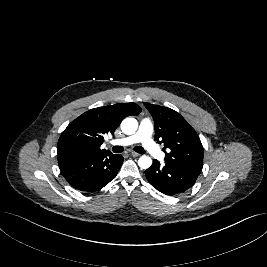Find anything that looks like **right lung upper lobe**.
<instances>
[{"instance_id":"right-lung-upper-lobe-1","label":"right lung upper lobe","mask_w":267,"mask_h":267,"mask_svg":"<svg viewBox=\"0 0 267 267\" xmlns=\"http://www.w3.org/2000/svg\"><path fill=\"white\" fill-rule=\"evenodd\" d=\"M140 112L141 108L135 103H119L83 113L62 132L57 144L58 163L110 154L100 148L104 136L113 134L125 117Z\"/></svg>"}]
</instances>
